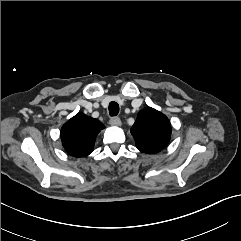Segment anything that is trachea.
I'll return each instance as SVG.
<instances>
[{
	"label": "trachea",
	"instance_id": "trachea-1",
	"mask_svg": "<svg viewBox=\"0 0 241 241\" xmlns=\"http://www.w3.org/2000/svg\"><path fill=\"white\" fill-rule=\"evenodd\" d=\"M119 113V105L117 102H110L109 104V114L114 117Z\"/></svg>",
	"mask_w": 241,
	"mask_h": 241
}]
</instances>
